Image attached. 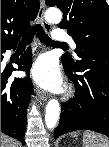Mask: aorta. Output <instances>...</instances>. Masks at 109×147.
<instances>
[{
  "mask_svg": "<svg viewBox=\"0 0 109 147\" xmlns=\"http://www.w3.org/2000/svg\"><path fill=\"white\" fill-rule=\"evenodd\" d=\"M45 20L50 23H59L62 20V13L58 8L51 7L45 12ZM60 116V105L56 99H52L46 106L45 124L47 128L53 129Z\"/></svg>",
  "mask_w": 109,
  "mask_h": 147,
  "instance_id": "obj_1",
  "label": "aorta"
}]
</instances>
